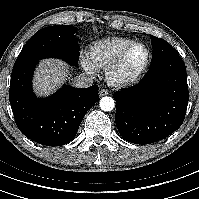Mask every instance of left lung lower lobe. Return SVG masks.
<instances>
[{
    "mask_svg": "<svg viewBox=\"0 0 199 199\" xmlns=\"http://www.w3.org/2000/svg\"><path fill=\"white\" fill-rule=\"evenodd\" d=\"M115 121L121 136L135 144L160 141L183 123L189 92L179 55L153 64L139 84L114 94Z\"/></svg>",
    "mask_w": 199,
    "mask_h": 199,
    "instance_id": "0a47b994",
    "label": "left lung lower lobe"
}]
</instances>
